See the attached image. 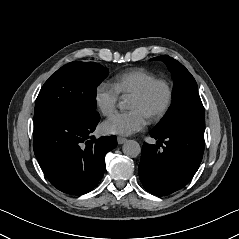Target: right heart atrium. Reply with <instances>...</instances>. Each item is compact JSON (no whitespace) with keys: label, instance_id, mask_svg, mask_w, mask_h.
Returning a JSON list of instances; mask_svg holds the SVG:
<instances>
[{"label":"right heart atrium","instance_id":"obj_1","mask_svg":"<svg viewBox=\"0 0 239 239\" xmlns=\"http://www.w3.org/2000/svg\"><path fill=\"white\" fill-rule=\"evenodd\" d=\"M118 91L113 86L102 85L98 88L96 101L99 109L105 115H111L117 106Z\"/></svg>","mask_w":239,"mask_h":239}]
</instances>
